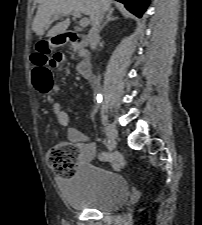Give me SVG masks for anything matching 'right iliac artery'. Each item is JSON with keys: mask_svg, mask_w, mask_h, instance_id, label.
<instances>
[{"mask_svg": "<svg viewBox=\"0 0 202 225\" xmlns=\"http://www.w3.org/2000/svg\"><path fill=\"white\" fill-rule=\"evenodd\" d=\"M97 100L99 101L98 97H97ZM106 145L110 150H112L114 148V145L110 142V140L106 141Z\"/></svg>", "mask_w": 202, "mask_h": 225, "instance_id": "obj_1", "label": "right iliac artery"}]
</instances>
